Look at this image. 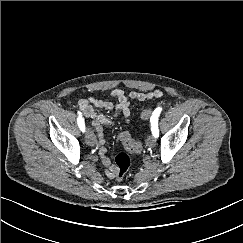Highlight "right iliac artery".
<instances>
[{"mask_svg": "<svg viewBox=\"0 0 243 243\" xmlns=\"http://www.w3.org/2000/svg\"><path fill=\"white\" fill-rule=\"evenodd\" d=\"M78 119H77V122H78V126L80 128L81 131L85 132V122H84V119L82 117V113L81 112H78Z\"/></svg>", "mask_w": 243, "mask_h": 243, "instance_id": "right-iliac-artery-1", "label": "right iliac artery"}]
</instances>
